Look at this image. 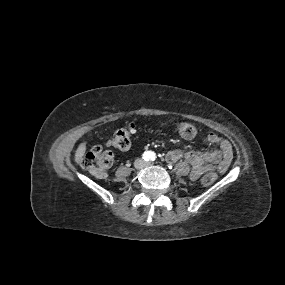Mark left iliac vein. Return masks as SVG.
Returning <instances> with one entry per match:
<instances>
[{
	"mask_svg": "<svg viewBox=\"0 0 285 285\" xmlns=\"http://www.w3.org/2000/svg\"><path fill=\"white\" fill-rule=\"evenodd\" d=\"M145 165H146V166H149V163H146Z\"/></svg>",
	"mask_w": 285,
	"mask_h": 285,
	"instance_id": "1",
	"label": "left iliac vein"
}]
</instances>
